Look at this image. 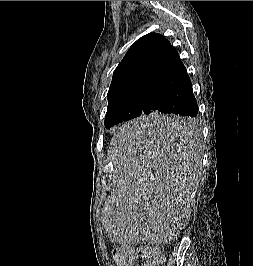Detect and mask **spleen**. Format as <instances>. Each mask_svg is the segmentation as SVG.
<instances>
[{
    "label": "spleen",
    "instance_id": "obj_1",
    "mask_svg": "<svg viewBox=\"0 0 253 266\" xmlns=\"http://www.w3.org/2000/svg\"><path fill=\"white\" fill-rule=\"evenodd\" d=\"M193 123L176 111H149L112 135L116 190L103 210L105 242L116 248H166L183 235L189 200L198 181Z\"/></svg>",
    "mask_w": 253,
    "mask_h": 266
}]
</instances>
